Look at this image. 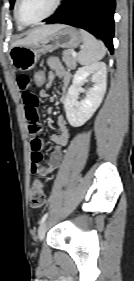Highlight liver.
Instances as JSON below:
<instances>
[{"mask_svg": "<svg viewBox=\"0 0 134 281\" xmlns=\"http://www.w3.org/2000/svg\"><path fill=\"white\" fill-rule=\"evenodd\" d=\"M62 25L55 24V25H46L39 28L34 29L31 31L26 37L23 39L17 40L12 44V47L17 45H28L34 42H37L44 37L54 33L58 29H60Z\"/></svg>", "mask_w": 134, "mask_h": 281, "instance_id": "obj_1", "label": "liver"}]
</instances>
